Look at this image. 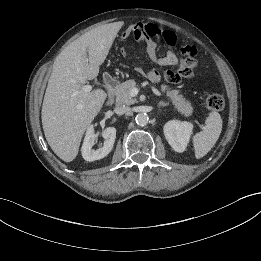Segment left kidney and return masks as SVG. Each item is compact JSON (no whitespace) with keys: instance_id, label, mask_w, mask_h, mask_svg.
Wrapping results in <instances>:
<instances>
[{"instance_id":"obj_1","label":"left kidney","mask_w":261,"mask_h":261,"mask_svg":"<svg viewBox=\"0 0 261 261\" xmlns=\"http://www.w3.org/2000/svg\"><path fill=\"white\" fill-rule=\"evenodd\" d=\"M193 130V125L187 121L170 120L163 128L164 135L169 145L176 152L185 151L191 134Z\"/></svg>"}]
</instances>
